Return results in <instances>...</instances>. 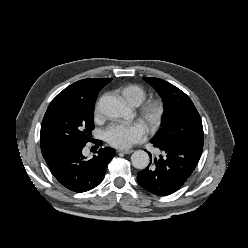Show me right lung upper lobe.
Listing matches in <instances>:
<instances>
[{
    "instance_id": "right-lung-upper-lobe-1",
    "label": "right lung upper lobe",
    "mask_w": 248,
    "mask_h": 248,
    "mask_svg": "<svg viewBox=\"0 0 248 248\" xmlns=\"http://www.w3.org/2000/svg\"><path fill=\"white\" fill-rule=\"evenodd\" d=\"M112 79L110 78H90L83 79L68 86L62 92H60L50 103L64 100V99H77L83 101H94L96 100L99 91L108 84ZM49 105V106H50ZM41 151L44 158L52 154L55 149H48L41 145Z\"/></svg>"
}]
</instances>
